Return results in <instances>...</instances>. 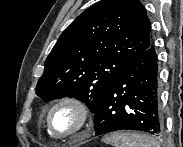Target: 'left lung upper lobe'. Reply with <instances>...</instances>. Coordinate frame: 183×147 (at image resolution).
I'll return each mask as SVG.
<instances>
[{
  "label": "left lung upper lobe",
  "instance_id": "obj_1",
  "mask_svg": "<svg viewBox=\"0 0 183 147\" xmlns=\"http://www.w3.org/2000/svg\"><path fill=\"white\" fill-rule=\"evenodd\" d=\"M151 23L139 0H101L60 35L36 94L44 101L74 97L95 113L119 73L151 46Z\"/></svg>",
  "mask_w": 183,
  "mask_h": 147
}]
</instances>
